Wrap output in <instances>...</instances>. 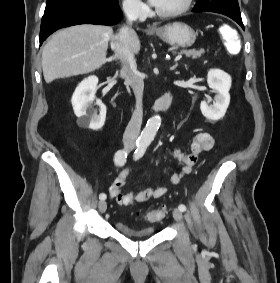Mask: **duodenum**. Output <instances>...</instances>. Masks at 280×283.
Segmentation results:
<instances>
[{
	"mask_svg": "<svg viewBox=\"0 0 280 283\" xmlns=\"http://www.w3.org/2000/svg\"><path fill=\"white\" fill-rule=\"evenodd\" d=\"M172 97L169 92L162 95L153 106V110L156 112H166L171 106Z\"/></svg>",
	"mask_w": 280,
	"mask_h": 283,
	"instance_id": "obj_1",
	"label": "duodenum"
}]
</instances>
